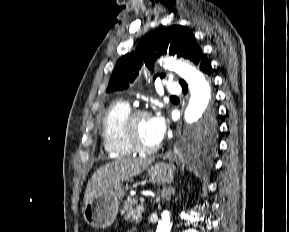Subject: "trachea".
Here are the masks:
<instances>
[{"label": "trachea", "mask_w": 289, "mask_h": 232, "mask_svg": "<svg viewBox=\"0 0 289 232\" xmlns=\"http://www.w3.org/2000/svg\"><path fill=\"white\" fill-rule=\"evenodd\" d=\"M171 98H177L176 96H172Z\"/></svg>", "instance_id": "1"}]
</instances>
